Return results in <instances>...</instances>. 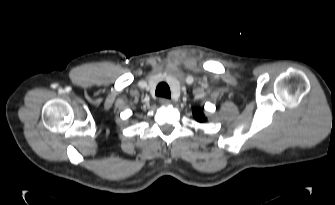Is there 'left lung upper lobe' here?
Here are the masks:
<instances>
[{
	"label": "left lung upper lobe",
	"instance_id": "obj_1",
	"mask_svg": "<svg viewBox=\"0 0 335 205\" xmlns=\"http://www.w3.org/2000/svg\"><path fill=\"white\" fill-rule=\"evenodd\" d=\"M193 116L198 122L206 121L204 114L200 109H194Z\"/></svg>",
	"mask_w": 335,
	"mask_h": 205
}]
</instances>
